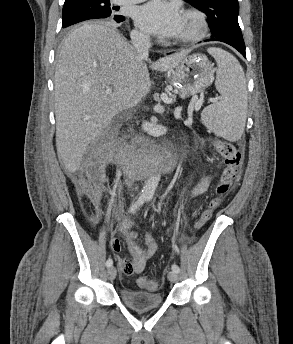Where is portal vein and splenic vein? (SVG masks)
I'll use <instances>...</instances> for the list:
<instances>
[{
    "label": "portal vein and splenic vein",
    "instance_id": "1",
    "mask_svg": "<svg viewBox=\"0 0 293 344\" xmlns=\"http://www.w3.org/2000/svg\"><path fill=\"white\" fill-rule=\"evenodd\" d=\"M106 93L107 94L112 93V89L110 88L106 89ZM202 104H203V97L198 98L197 96H194L192 98V105H194V108L196 111H198L201 108Z\"/></svg>",
    "mask_w": 293,
    "mask_h": 344
}]
</instances>
